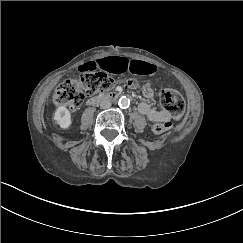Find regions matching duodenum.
I'll use <instances>...</instances> for the list:
<instances>
[{"instance_id":"410a0bca","label":"duodenum","mask_w":243,"mask_h":243,"mask_svg":"<svg viewBox=\"0 0 243 243\" xmlns=\"http://www.w3.org/2000/svg\"><path fill=\"white\" fill-rule=\"evenodd\" d=\"M118 96H119V93H117V92H109V93L100 94L98 96L88 99L87 104L96 105L102 101H113V100L117 99Z\"/></svg>"}]
</instances>
